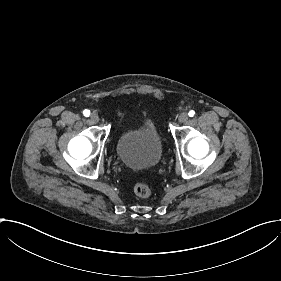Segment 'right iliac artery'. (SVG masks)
I'll list each match as a JSON object with an SVG mask.
<instances>
[{"label":"right iliac artery","instance_id":"82829eb1","mask_svg":"<svg viewBox=\"0 0 281 281\" xmlns=\"http://www.w3.org/2000/svg\"><path fill=\"white\" fill-rule=\"evenodd\" d=\"M83 114H84L85 117H89L90 116V110L85 109L83 111Z\"/></svg>","mask_w":281,"mask_h":281}]
</instances>
